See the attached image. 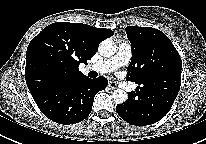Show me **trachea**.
Returning <instances> with one entry per match:
<instances>
[{
    "label": "trachea",
    "instance_id": "3493384b",
    "mask_svg": "<svg viewBox=\"0 0 206 144\" xmlns=\"http://www.w3.org/2000/svg\"><path fill=\"white\" fill-rule=\"evenodd\" d=\"M89 74L92 77V76H95L96 72H90Z\"/></svg>",
    "mask_w": 206,
    "mask_h": 144
}]
</instances>
